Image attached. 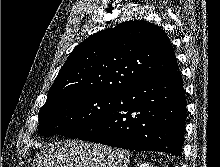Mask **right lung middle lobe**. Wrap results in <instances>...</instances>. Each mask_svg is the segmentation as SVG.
Here are the masks:
<instances>
[{
  "instance_id": "right-lung-middle-lobe-1",
  "label": "right lung middle lobe",
  "mask_w": 220,
  "mask_h": 167,
  "mask_svg": "<svg viewBox=\"0 0 220 167\" xmlns=\"http://www.w3.org/2000/svg\"><path fill=\"white\" fill-rule=\"evenodd\" d=\"M117 93L72 92L47 101L39 110V134L78 138L92 129L112 106Z\"/></svg>"
}]
</instances>
